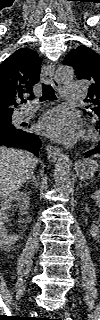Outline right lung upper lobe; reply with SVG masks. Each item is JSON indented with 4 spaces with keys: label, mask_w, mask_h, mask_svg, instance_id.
I'll return each instance as SVG.
<instances>
[{
    "label": "right lung upper lobe",
    "mask_w": 100,
    "mask_h": 320,
    "mask_svg": "<svg viewBox=\"0 0 100 320\" xmlns=\"http://www.w3.org/2000/svg\"><path fill=\"white\" fill-rule=\"evenodd\" d=\"M42 60L35 51L21 48L0 65V119L11 118L24 94L39 81Z\"/></svg>",
    "instance_id": "1"
}]
</instances>
